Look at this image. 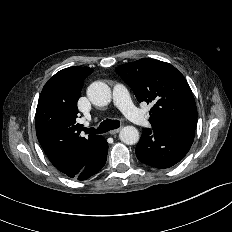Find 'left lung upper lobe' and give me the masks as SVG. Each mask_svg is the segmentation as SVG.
Returning a JSON list of instances; mask_svg holds the SVG:
<instances>
[{
  "label": "left lung upper lobe",
  "instance_id": "5c2ea615",
  "mask_svg": "<svg viewBox=\"0 0 232 232\" xmlns=\"http://www.w3.org/2000/svg\"><path fill=\"white\" fill-rule=\"evenodd\" d=\"M131 87L138 102H152L149 122L156 128L195 130L197 108L184 76L172 65L142 58L116 68Z\"/></svg>",
  "mask_w": 232,
  "mask_h": 232
}]
</instances>
